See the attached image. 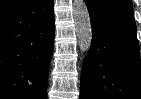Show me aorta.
Returning a JSON list of instances; mask_svg holds the SVG:
<instances>
[{"mask_svg":"<svg viewBox=\"0 0 141 99\" xmlns=\"http://www.w3.org/2000/svg\"><path fill=\"white\" fill-rule=\"evenodd\" d=\"M73 17L80 51L87 53L92 43V27L84 0H73Z\"/></svg>","mask_w":141,"mask_h":99,"instance_id":"1","label":"aorta"}]
</instances>
